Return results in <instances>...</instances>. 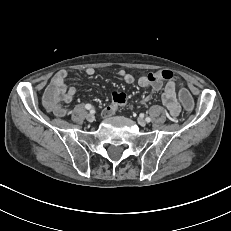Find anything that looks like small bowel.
<instances>
[{
  "mask_svg": "<svg viewBox=\"0 0 231 231\" xmlns=\"http://www.w3.org/2000/svg\"><path fill=\"white\" fill-rule=\"evenodd\" d=\"M85 74L89 77L95 74L94 68L88 67L85 69ZM67 71L60 70L57 72L51 83L58 85L59 92L55 95L56 104L49 108L56 116H64L67 112L66 108L62 105V103H70L73 101L74 95L76 93L75 87H69L66 84ZM118 77L126 84H132L136 82L140 87L144 89H149L151 93H156L162 89L163 83L162 80L157 77V73H149L146 75L134 76L132 73L121 69L118 71ZM152 95L144 96L140 99V104H147ZM162 102L165 107L168 109L170 116L176 117L181 111V107L178 103V97L176 92V82L171 80L164 85L163 94H162ZM117 107L114 105L108 106L104 110V114L106 116L111 115L115 112Z\"/></svg>",
  "mask_w": 231,
  "mask_h": 231,
  "instance_id": "obj_1",
  "label": "small bowel"
}]
</instances>
